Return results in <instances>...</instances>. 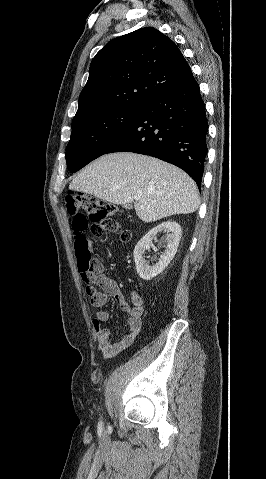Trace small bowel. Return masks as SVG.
<instances>
[{
    "mask_svg": "<svg viewBox=\"0 0 266 479\" xmlns=\"http://www.w3.org/2000/svg\"><path fill=\"white\" fill-rule=\"evenodd\" d=\"M94 283L101 289L96 297L91 300L94 307H102L108 298H112L117 305L126 313V322L123 327L121 338L114 341L112 330L103 327V323L110 318L109 312L99 310L92 324L97 333L98 350L103 357L111 358L127 349L134 341L142 327V315L145 309L144 298L135 290L130 292L131 303L129 305L116 281L104 274V265L100 260L94 261Z\"/></svg>",
    "mask_w": 266,
    "mask_h": 479,
    "instance_id": "small-bowel-1",
    "label": "small bowel"
}]
</instances>
